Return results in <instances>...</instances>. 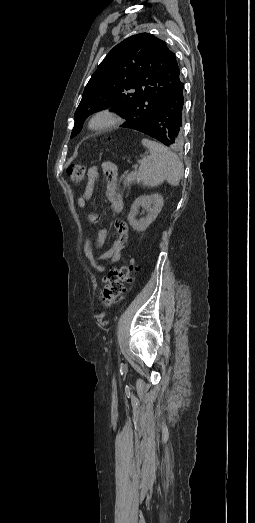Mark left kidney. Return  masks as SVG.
<instances>
[{"mask_svg":"<svg viewBox=\"0 0 255 523\" xmlns=\"http://www.w3.org/2000/svg\"><path fill=\"white\" fill-rule=\"evenodd\" d=\"M151 204H153V206H151ZM163 204V198L162 196H159V194H152V196H140V198H136L129 212V224H131L132 228L137 230V232H145L146 228H148V226L154 222L159 212H161ZM139 206H143V208L147 210L148 214L146 218H140V220H136L135 216L138 212Z\"/></svg>","mask_w":255,"mask_h":523,"instance_id":"obj_1","label":"left kidney"}]
</instances>
